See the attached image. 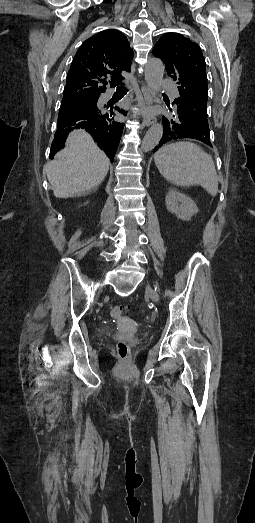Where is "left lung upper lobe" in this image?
<instances>
[{"label":"left lung upper lobe","mask_w":255,"mask_h":523,"mask_svg":"<svg viewBox=\"0 0 255 523\" xmlns=\"http://www.w3.org/2000/svg\"><path fill=\"white\" fill-rule=\"evenodd\" d=\"M152 53L164 62L168 75L179 84L180 97L174 100L169 109L173 112L181 109L183 112L180 115H194L191 121L210 125L207 120L206 63L199 45L181 34L167 33L158 40ZM209 146L212 147V144Z\"/></svg>","instance_id":"left-lung-upper-lobe-1"}]
</instances>
